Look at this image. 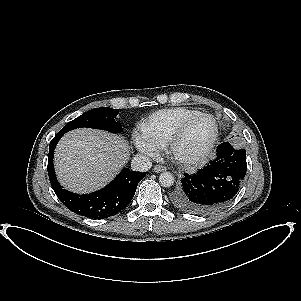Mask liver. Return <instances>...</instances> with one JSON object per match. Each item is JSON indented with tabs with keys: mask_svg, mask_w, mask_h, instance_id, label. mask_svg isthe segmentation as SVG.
Returning <instances> with one entry per match:
<instances>
[{
	"mask_svg": "<svg viewBox=\"0 0 301 301\" xmlns=\"http://www.w3.org/2000/svg\"><path fill=\"white\" fill-rule=\"evenodd\" d=\"M130 156L128 143L105 131L80 128L59 141L54 165L60 183L75 193L96 191L120 172Z\"/></svg>",
	"mask_w": 301,
	"mask_h": 301,
	"instance_id": "1",
	"label": "liver"
}]
</instances>
